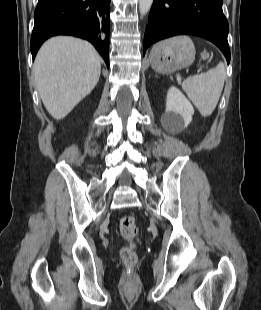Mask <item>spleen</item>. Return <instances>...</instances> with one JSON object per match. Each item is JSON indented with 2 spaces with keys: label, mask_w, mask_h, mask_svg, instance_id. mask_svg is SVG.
<instances>
[{
  "label": "spleen",
  "mask_w": 261,
  "mask_h": 310,
  "mask_svg": "<svg viewBox=\"0 0 261 310\" xmlns=\"http://www.w3.org/2000/svg\"><path fill=\"white\" fill-rule=\"evenodd\" d=\"M225 76L224 64L219 63L206 73L190 76L183 81L182 89L203 117H209L217 106Z\"/></svg>",
  "instance_id": "3e777b00"
}]
</instances>
